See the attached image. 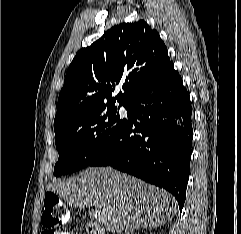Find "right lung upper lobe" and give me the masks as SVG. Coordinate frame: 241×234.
<instances>
[{
	"label": "right lung upper lobe",
	"mask_w": 241,
	"mask_h": 234,
	"mask_svg": "<svg viewBox=\"0 0 241 234\" xmlns=\"http://www.w3.org/2000/svg\"><path fill=\"white\" fill-rule=\"evenodd\" d=\"M159 33L143 20L112 27L70 64L58 98L54 130L107 104H127L171 64ZM119 83L123 91L113 98Z\"/></svg>",
	"instance_id": "obj_1"
}]
</instances>
